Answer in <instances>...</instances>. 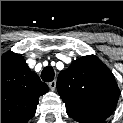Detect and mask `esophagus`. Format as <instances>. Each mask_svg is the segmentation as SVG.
Wrapping results in <instances>:
<instances>
[{
    "label": "esophagus",
    "instance_id": "34e87169",
    "mask_svg": "<svg viewBox=\"0 0 123 123\" xmlns=\"http://www.w3.org/2000/svg\"><path fill=\"white\" fill-rule=\"evenodd\" d=\"M48 86H49V88H50L52 91H54L55 88H56V81L53 80V81L49 82Z\"/></svg>",
    "mask_w": 123,
    "mask_h": 123
}]
</instances>
